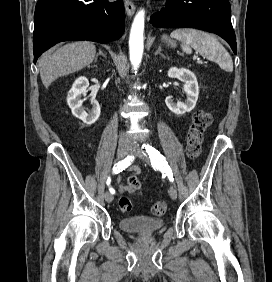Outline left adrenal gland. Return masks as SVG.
I'll return each mask as SVG.
<instances>
[{
    "label": "left adrenal gland",
    "instance_id": "1",
    "mask_svg": "<svg viewBox=\"0 0 272 282\" xmlns=\"http://www.w3.org/2000/svg\"><path fill=\"white\" fill-rule=\"evenodd\" d=\"M154 55H160L161 57H163L164 59H169L168 56H165L163 53H162V48L160 46H158L157 48V51L154 53Z\"/></svg>",
    "mask_w": 272,
    "mask_h": 282
}]
</instances>
